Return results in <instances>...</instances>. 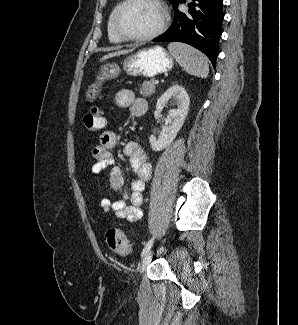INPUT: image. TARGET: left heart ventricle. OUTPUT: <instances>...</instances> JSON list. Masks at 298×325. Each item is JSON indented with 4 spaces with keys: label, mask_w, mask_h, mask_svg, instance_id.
Listing matches in <instances>:
<instances>
[{
    "label": "left heart ventricle",
    "mask_w": 298,
    "mask_h": 325,
    "mask_svg": "<svg viewBox=\"0 0 298 325\" xmlns=\"http://www.w3.org/2000/svg\"><path fill=\"white\" fill-rule=\"evenodd\" d=\"M159 23V15L148 3L128 5L119 18V28L130 37H140L153 31Z\"/></svg>",
    "instance_id": "left-heart-ventricle-1"
}]
</instances>
